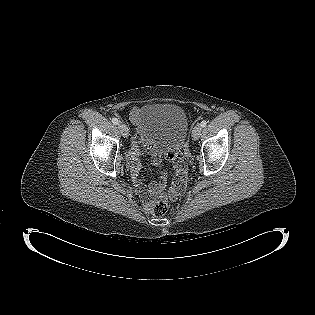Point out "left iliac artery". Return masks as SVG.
Wrapping results in <instances>:
<instances>
[{"instance_id":"left-iliac-artery-1","label":"left iliac artery","mask_w":315,"mask_h":315,"mask_svg":"<svg viewBox=\"0 0 315 315\" xmlns=\"http://www.w3.org/2000/svg\"><path fill=\"white\" fill-rule=\"evenodd\" d=\"M201 127H205L207 125V121L206 120H203L201 123H200Z\"/></svg>"}]
</instances>
